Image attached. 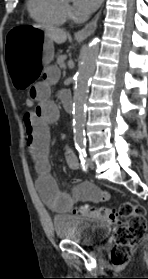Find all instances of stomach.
<instances>
[{
  "instance_id": "1",
  "label": "stomach",
  "mask_w": 148,
  "mask_h": 279,
  "mask_svg": "<svg viewBox=\"0 0 148 279\" xmlns=\"http://www.w3.org/2000/svg\"><path fill=\"white\" fill-rule=\"evenodd\" d=\"M4 35L6 69L13 82V91H31L32 85L40 78L42 68L53 59V43L37 25H11Z\"/></svg>"
}]
</instances>
